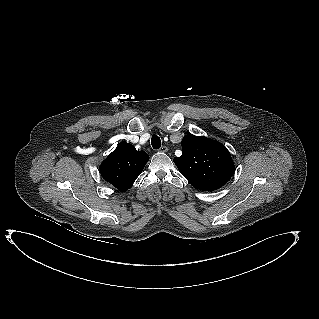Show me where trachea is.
Segmentation results:
<instances>
[{
    "mask_svg": "<svg viewBox=\"0 0 319 319\" xmlns=\"http://www.w3.org/2000/svg\"><path fill=\"white\" fill-rule=\"evenodd\" d=\"M151 145H152L153 149H159L161 147V140L157 135L152 136Z\"/></svg>",
    "mask_w": 319,
    "mask_h": 319,
    "instance_id": "3493384b",
    "label": "trachea"
}]
</instances>
